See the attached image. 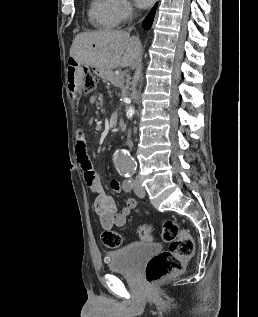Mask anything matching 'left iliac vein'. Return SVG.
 Here are the masks:
<instances>
[{"instance_id": "obj_1", "label": "left iliac vein", "mask_w": 258, "mask_h": 317, "mask_svg": "<svg viewBox=\"0 0 258 317\" xmlns=\"http://www.w3.org/2000/svg\"><path fill=\"white\" fill-rule=\"evenodd\" d=\"M131 182L133 181L132 179L130 180ZM132 186L134 187V192L136 195L138 196H144L145 198V189L141 186L140 182H139V179L138 178H135L134 179V182L132 183Z\"/></svg>"}]
</instances>
